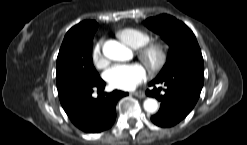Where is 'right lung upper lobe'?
Returning a JSON list of instances; mask_svg holds the SVG:
<instances>
[{
  "mask_svg": "<svg viewBox=\"0 0 247 145\" xmlns=\"http://www.w3.org/2000/svg\"><path fill=\"white\" fill-rule=\"evenodd\" d=\"M98 28V24L93 20H85L72 27L66 35H93ZM65 35V36H66Z\"/></svg>",
  "mask_w": 247,
  "mask_h": 145,
  "instance_id": "1",
  "label": "right lung upper lobe"
}]
</instances>
